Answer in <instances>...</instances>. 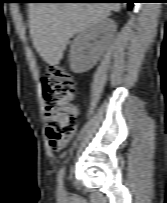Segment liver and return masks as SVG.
<instances>
[{"instance_id":"obj_1","label":"liver","mask_w":167,"mask_h":203,"mask_svg":"<svg viewBox=\"0 0 167 203\" xmlns=\"http://www.w3.org/2000/svg\"><path fill=\"white\" fill-rule=\"evenodd\" d=\"M120 9V3H30L29 27L33 45L46 63L57 65L74 34Z\"/></svg>"}]
</instances>
